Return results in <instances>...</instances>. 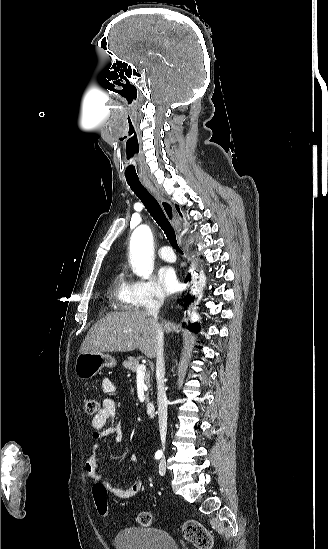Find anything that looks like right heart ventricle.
Returning <instances> with one entry per match:
<instances>
[{
	"label": "right heart ventricle",
	"mask_w": 328,
	"mask_h": 549,
	"mask_svg": "<svg viewBox=\"0 0 328 549\" xmlns=\"http://www.w3.org/2000/svg\"><path fill=\"white\" fill-rule=\"evenodd\" d=\"M109 301V303H127L128 310H131V303H141L134 292L132 283L126 279L122 272H118L112 280Z\"/></svg>",
	"instance_id": "1"
}]
</instances>
